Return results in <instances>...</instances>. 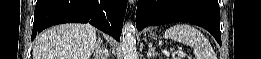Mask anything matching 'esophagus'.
<instances>
[{
    "label": "esophagus",
    "mask_w": 261,
    "mask_h": 59,
    "mask_svg": "<svg viewBox=\"0 0 261 59\" xmlns=\"http://www.w3.org/2000/svg\"><path fill=\"white\" fill-rule=\"evenodd\" d=\"M129 3L132 5L135 3V0H129Z\"/></svg>",
    "instance_id": "esophagus-1"
}]
</instances>
